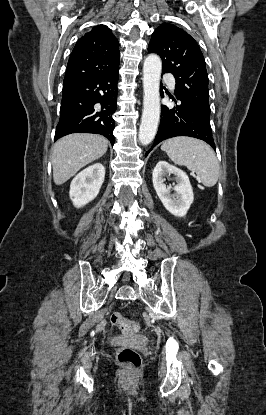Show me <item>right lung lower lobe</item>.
Instances as JSON below:
<instances>
[{"instance_id":"right-lung-lower-lobe-1","label":"right lung lower lobe","mask_w":266,"mask_h":415,"mask_svg":"<svg viewBox=\"0 0 266 415\" xmlns=\"http://www.w3.org/2000/svg\"><path fill=\"white\" fill-rule=\"evenodd\" d=\"M119 67L111 73L64 85L55 141L71 133H97L114 145Z\"/></svg>"}]
</instances>
